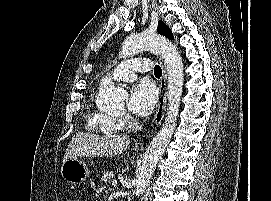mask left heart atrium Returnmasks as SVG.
<instances>
[{"label": "left heart atrium", "instance_id": "left-heart-atrium-1", "mask_svg": "<svg viewBox=\"0 0 271 201\" xmlns=\"http://www.w3.org/2000/svg\"><path fill=\"white\" fill-rule=\"evenodd\" d=\"M157 91L149 82H141L132 87L127 101L128 109L139 115H149L157 103Z\"/></svg>", "mask_w": 271, "mask_h": 201}]
</instances>
